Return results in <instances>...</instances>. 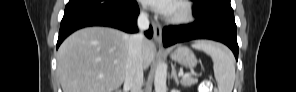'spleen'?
<instances>
[{
    "mask_svg": "<svg viewBox=\"0 0 296 92\" xmlns=\"http://www.w3.org/2000/svg\"><path fill=\"white\" fill-rule=\"evenodd\" d=\"M192 47L208 54L213 61L214 76L218 83L215 92H232L235 81L234 57L231 51L219 43L197 41Z\"/></svg>",
    "mask_w": 296,
    "mask_h": 92,
    "instance_id": "spleen-1",
    "label": "spleen"
}]
</instances>
